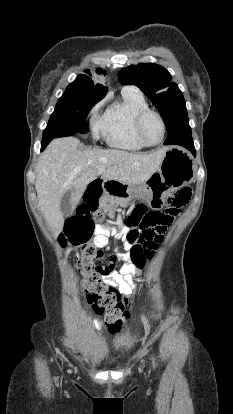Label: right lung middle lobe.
Listing matches in <instances>:
<instances>
[{
	"instance_id": "dd1d6c3e",
	"label": "right lung middle lobe",
	"mask_w": 233,
	"mask_h": 414,
	"mask_svg": "<svg viewBox=\"0 0 233 414\" xmlns=\"http://www.w3.org/2000/svg\"><path fill=\"white\" fill-rule=\"evenodd\" d=\"M100 99L93 95L66 89L58 100L54 112L49 119V125H57L75 133L88 131L86 117L95 103Z\"/></svg>"
}]
</instances>
